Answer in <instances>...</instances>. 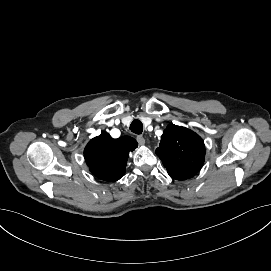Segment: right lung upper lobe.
I'll list each match as a JSON object with an SVG mask.
<instances>
[{"label":"right lung upper lobe","mask_w":271,"mask_h":271,"mask_svg":"<svg viewBox=\"0 0 271 271\" xmlns=\"http://www.w3.org/2000/svg\"><path fill=\"white\" fill-rule=\"evenodd\" d=\"M137 146V141L132 137L113 139L108 133H102L87 144L84 157L97 178L116 181L124 176L129 152Z\"/></svg>","instance_id":"cb5924a9"}]
</instances>
